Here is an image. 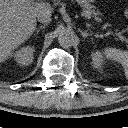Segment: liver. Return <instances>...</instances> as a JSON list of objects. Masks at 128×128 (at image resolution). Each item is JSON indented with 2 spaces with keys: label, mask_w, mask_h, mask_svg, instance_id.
Here are the masks:
<instances>
[{
  "label": "liver",
  "mask_w": 128,
  "mask_h": 128,
  "mask_svg": "<svg viewBox=\"0 0 128 128\" xmlns=\"http://www.w3.org/2000/svg\"><path fill=\"white\" fill-rule=\"evenodd\" d=\"M49 5L34 0H0V62L24 43L36 29L37 15Z\"/></svg>",
  "instance_id": "obj_1"
}]
</instances>
